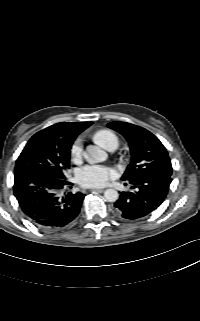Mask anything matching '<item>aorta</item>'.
Here are the masks:
<instances>
[{
    "mask_svg": "<svg viewBox=\"0 0 200 321\" xmlns=\"http://www.w3.org/2000/svg\"><path fill=\"white\" fill-rule=\"evenodd\" d=\"M86 159L88 162L98 163L107 159V153L98 146L90 145L87 147ZM104 197L108 202H115L119 198V194L115 189H107Z\"/></svg>",
    "mask_w": 200,
    "mask_h": 321,
    "instance_id": "762f6f07",
    "label": "aorta"
}]
</instances>
